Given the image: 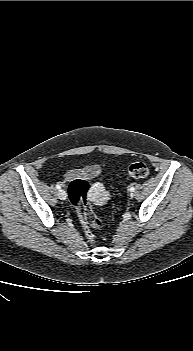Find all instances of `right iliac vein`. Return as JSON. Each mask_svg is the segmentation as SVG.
Segmentation results:
<instances>
[{"instance_id": "1", "label": "right iliac vein", "mask_w": 193, "mask_h": 351, "mask_svg": "<svg viewBox=\"0 0 193 351\" xmlns=\"http://www.w3.org/2000/svg\"><path fill=\"white\" fill-rule=\"evenodd\" d=\"M66 192L64 190H59L58 192V197L61 199V200H65L66 199Z\"/></svg>"}]
</instances>
